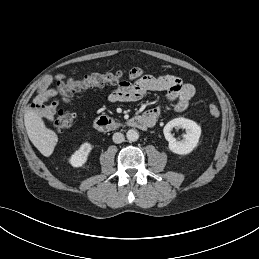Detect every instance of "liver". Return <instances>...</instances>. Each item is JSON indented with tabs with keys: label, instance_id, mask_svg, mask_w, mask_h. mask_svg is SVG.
<instances>
[{
	"label": "liver",
	"instance_id": "liver-1",
	"mask_svg": "<svg viewBox=\"0 0 259 259\" xmlns=\"http://www.w3.org/2000/svg\"><path fill=\"white\" fill-rule=\"evenodd\" d=\"M24 123L30 141L42 155L49 157L58 142L57 134L47 128L42 117L33 110L26 111Z\"/></svg>",
	"mask_w": 259,
	"mask_h": 259
}]
</instances>
